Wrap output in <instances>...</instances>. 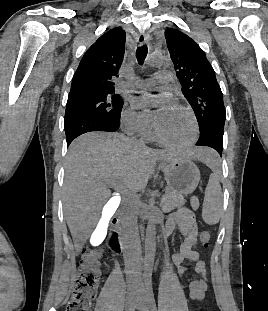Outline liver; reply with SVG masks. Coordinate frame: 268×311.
<instances>
[{
	"mask_svg": "<svg viewBox=\"0 0 268 311\" xmlns=\"http://www.w3.org/2000/svg\"><path fill=\"white\" fill-rule=\"evenodd\" d=\"M206 150L196 148L190 158L204 161ZM178 155L152 150L118 133L90 132L75 139L68 149L63 185L65 219L79 253L107 212L111 182L125 195L144 190L157 162H170ZM104 207V208H103Z\"/></svg>",
	"mask_w": 268,
	"mask_h": 311,
	"instance_id": "1",
	"label": "liver"
}]
</instances>
